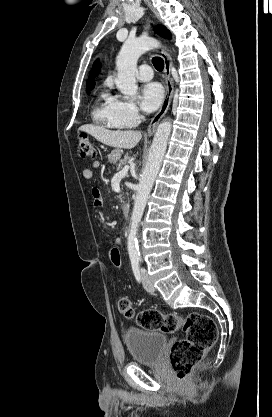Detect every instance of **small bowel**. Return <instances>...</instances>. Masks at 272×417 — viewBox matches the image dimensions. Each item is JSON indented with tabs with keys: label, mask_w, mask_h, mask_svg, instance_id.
I'll use <instances>...</instances> for the list:
<instances>
[{
	"label": "small bowel",
	"mask_w": 272,
	"mask_h": 417,
	"mask_svg": "<svg viewBox=\"0 0 272 417\" xmlns=\"http://www.w3.org/2000/svg\"><path fill=\"white\" fill-rule=\"evenodd\" d=\"M101 163L99 161H94L90 167L85 168L82 171V176L84 179L90 180L93 178L95 171L100 167ZM93 204L96 208H100L103 204L102 196L98 188L94 187L92 189ZM121 237H115L112 241V245H121Z\"/></svg>",
	"instance_id": "1"
}]
</instances>
